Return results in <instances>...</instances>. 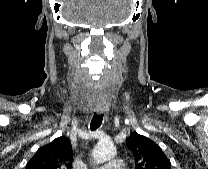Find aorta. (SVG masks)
<instances>
[{"label": "aorta", "mask_w": 208, "mask_h": 169, "mask_svg": "<svg viewBox=\"0 0 208 169\" xmlns=\"http://www.w3.org/2000/svg\"><path fill=\"white\" fill-rule=\"evenodd\" d=\"M116 153V148L111 142H100L93 151V157L97 163H103L114 158Z\"/></svg>", "instance_id": "762f6f07"}]
</instances>
